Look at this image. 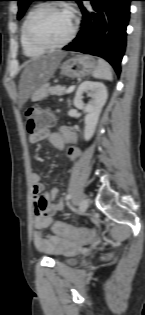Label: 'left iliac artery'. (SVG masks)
I'll list each match as a JSON object with an SVG mask.
<instances>
[{
    "instance_id": "left-iliac-artery-1",
    "label": "left iliac artery",
    "mask_w": 145,
    "mask_h": 315,
    "mask_svg": "<svg viewBox=\"0 0 145 315\" xmlns=\"http://www.w3.org/2000/svg\"><path fill=\"white\" fill-rule=\"evenodd\" d=\"M71 197H72V195H71V194H68V195L66 196V199L69 200V199H71Z\"/></svg>"
}]
</instances>
